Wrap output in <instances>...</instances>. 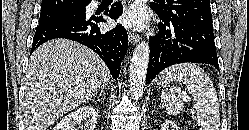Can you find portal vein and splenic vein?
Returning a JSON list of instances; mask_svg holds the SVG:
<instances>
[{
	"mask_svg": "<svg viewBox=\"0 0 249 130\" xmlns=\"http://www.w3.org/2000/svg\"><path fill=\"white\" fill-rule=\"evenodd\" d=\"M189 99L187 98V99H185V101L187 102Z\"/></svg>",
	"mask_w": 249,
	"mask_h": 130,
	"instance_id": "18ae733b",
	"label": "portal vein and splenic vein"
}]
</instances>
